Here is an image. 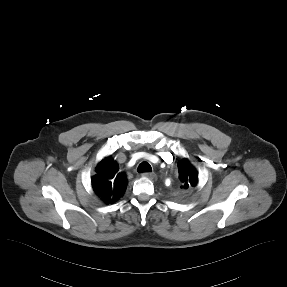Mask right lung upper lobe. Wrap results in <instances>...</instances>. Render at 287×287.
Instances as JSON below:
<instances>
[{
    "mask_svg": "<svg viewBox=\"0 0 287 287\" xmlns=\"http://www.w3.org/2000/svg\"><path fill=\"white\" fill-rule=\"evenodd\" d=\"M91 182L94 192L106 204L116 202L124 194L127 185L125 174L119 172L118 164L111 156L99 162Z\"/></svg>",
    "mask_w": 287,
    "mask_h": 287,
    "instance_id": "1",
    "label": "right lung upper lobe"
}]
</instances>
